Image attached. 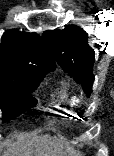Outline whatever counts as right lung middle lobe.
<instances>
[{"mask_svg":"<svg viewBox=\"0 0 114 156\" xmlns=\"http://www.w3.org/2000/svg\"><path fill=\"white\" fill-rule=\"evenodd\" d=\"M44 76L0 77V108L4 121L21 115L36 104L30 93L36 90Z\"/></svg>","mask_w":114,"mask_h":156,"instance_id":"obj_1","label":"right lung middle lobe"}]
</instances>
